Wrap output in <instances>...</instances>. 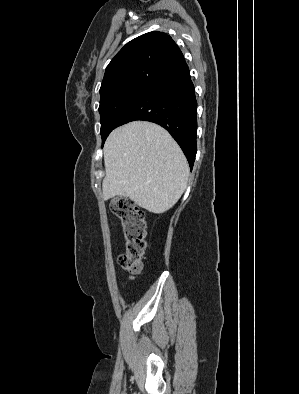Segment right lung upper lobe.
Segmentation results:
<instances>
[{
  "mask_svg": "<svg viewBox=\"0 0 299 394\" xmlns=\"http://www.w3.org/2000/svg\"><path fill=\"white\" fill-rule=\"evenodd\" d=\"M185 62L172 38L149 32L128 42L106 68L100 93L127 83L152 84Z\"/></svg>",
  "mask_w": 299,
  "mask_h": 394,
  "instance_id": "1",
  "label": "right lung upper lobe"
}]
</instances>
